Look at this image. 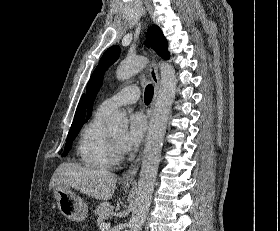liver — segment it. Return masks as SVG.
Returning a JSON list of instances; mask_svg holds the SVG:
<instances>
[{
	"label": "liver",
	"instance_id": "obj_1",
	"mask_svg": "<svg viewBox=\"0 0 280 231\" xmlns=\"http://www.w3.org/2000/svg\"><path fill=\"white\" fill-rule=\"evenodd\" d=\"M117 181V175L110 171H95L89 167H83L79 163H60L55 169L50 187L61 185V187H74L88 197L95 199H111Z\"/></svg>",
	"mask_w": 280,
	"mask_h": 231
}]
</instances>
